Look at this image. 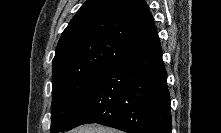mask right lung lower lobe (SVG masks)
Instances as JSON below:
<instances>
[{"mask_svg": "<svg viewBox=\"0 0 221 133\" xmlns=\"http://www.w3.org/2000/svg\"><path fill=\"white\" fill-rule=\"evenodd\" d=\"M88 123L127 133H171L170 94L160 44L103 72L66 130Z\"/></svg>", "mask_w": 221, "mask_h": 133, "instance_id": "1", "label": "right lung lower lobe"}]
</instances>
